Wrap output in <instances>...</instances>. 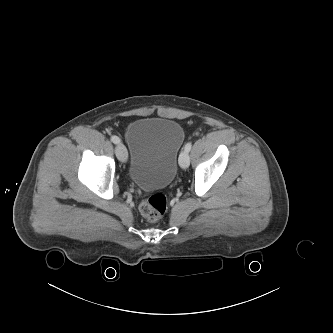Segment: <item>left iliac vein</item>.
Returning a JSON list of instances; mask_svg holds the SVG:
<instances>
[{"mask_svg": "<svg viewBox=\"0 0 333 333\" xmlns=\"http://www.w3.org/2000/svg\"><path fill=\"white\" fill-rule=\"evenodd\" d=\"M190 164V157L187 151H182L179 156V165L181 168L186 169Z\"/></svg>", "mask_w": 333, "mask_h": 333, "instance_id": "1", "label": "left iliac vein"}]
</instances>
